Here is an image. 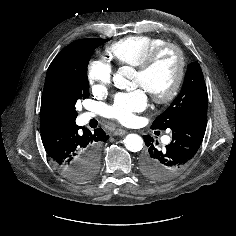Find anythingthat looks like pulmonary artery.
<instances>
[{"mask_svg": "<svg viewBox=\"0 0 236 236\" xmlns=\"http://www.w3.org/2000/svg\"><path fill=\"white\" fill-rule=\"evenodd\" d=\"M91 116H92L91 114L86 113V114L84 115V119H85V120H88ZM163 141H164L165 143L169 142V141H170L169 136H165V137L163 138Z\"/></svg>", "mask_w": 236, "mask_h": 236, "instance_id": "obj_1", "label": "pulmonary artery"}]
</instances>
